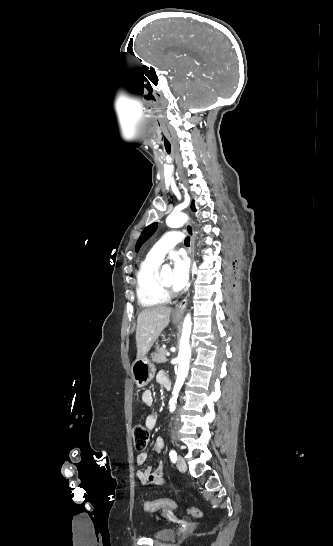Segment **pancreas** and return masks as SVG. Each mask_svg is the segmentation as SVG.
I'll return each mask as SVG.
<instances>
[{
    "label": "pancreas",
    "instance_id": "obj_1",
    "mask_svg": "<svg viewBox=\"0 0 333 546\" xmlns=\"http://www.w3.org/2000/svg\"><path fill=\"white\" fill-rule=\"evenodd\" d=\"M167 350L165 348H159L157 352L152 356V361L161 364L167 361L166 358Z\"/></svg>",
    "mask_w": 333,
    "mask_h": 546
}]
</instances>
